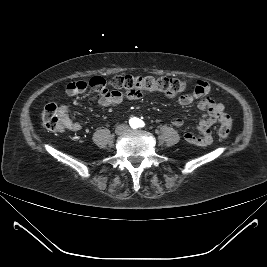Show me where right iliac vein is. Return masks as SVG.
Segmentation results:
<instances>
[{
	"instance_id": "right-iliac-vein-1",
	"label": "right iliac vein",
	"mask_w": 267,
	"mask_h": 267,
	"mask_svg": "<svg viewBox=\"0 0 267 267\" xmlns=\"http://www.w3.org/2000/svg\"><path fill=\"white\" fill-rule=\"evenodd\" d=\"M126 131V127L124 126H119L117 129H116V133L117 134H123L124 132Z\"/></svg>"
}]
</instances>
